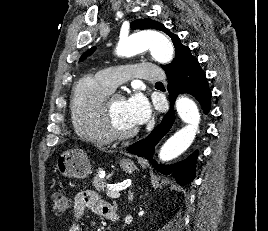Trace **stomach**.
<instances>
[{"label":"stomach","mask_w":268,"mask_h":231,"mask_svg":"<svg viewBox=\"0 0 268 231\" xmlns=\"http://www.w3.org/2000/svg\"><path fill=\"white\" fill-rule=\"evenodd\" d=\"M121 169L131 174L138 170L133 161L122 159ZM56 169L65 177L84 179L91 173V164L83 150L71 149L63 152L57 160Z\"/></svg>","instance_id":"obj_1"}]
</instances>
